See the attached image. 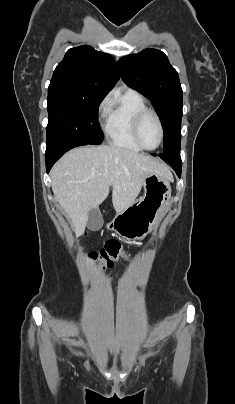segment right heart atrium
<instances>
[{"mask_svg": "<svg viewBox=\"0 0 235 404\" xmlns=\"http://www.w3.org/2000/svg\"><path fill=\"white\" fill-rule=\"evenodd\" d=\"M109 104H110V100H109V97H107V96L104 97L98 104L97 111H98L100 119L106 115Z\"/></svg>", "mask_w": 235, "mask_h": 404, "instance_id": "obj_1", "label": "right heart atrium"}]
</instances>
